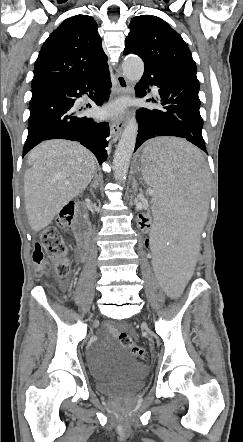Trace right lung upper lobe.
<instances>
[{"label": "right lung upper lobe", "instance_id": "cb5924a9", "mask_svg": "<svg viewBox=\"0 0 243 442\" xmlns=\"http://www.w3.org/2000/svg\"><path fill=\"white\" fill-rule=\"evenodd\" d=\"M107 67L93 17L66 19L44 42L34 64L31 84L44 80L84 77Z\"/></svg>", "mask_w": 243, "mask_h": 442}]
</instances>
